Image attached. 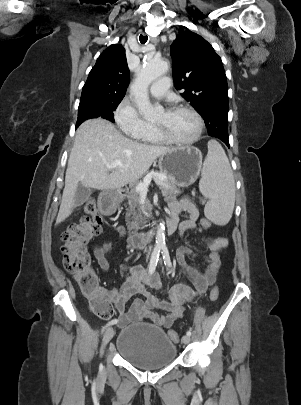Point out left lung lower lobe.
Returning a JSON list of instances; mask_svg holds the SVG:
<instances>
[{"label":"left lung lower lobe","mask_w":301,"mask_h":405,"mask_svg":"<svg viewBox=\"0 0 301 405\" xmlns=\"http://www.w3.org/2000/svg\"><path fill=\"white\" fill-rule=\"evenodd\" d=\"M217 138L221 139L227 146H229L228 135H221Z\"/></svg>","instance_id":"obj_1"}]
</instances>
